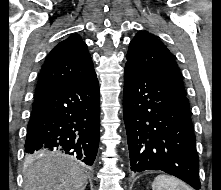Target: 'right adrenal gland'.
Wrapping results in <instances>:
<instances>
[{"mask_svg":"<svg viewBox=\"0 0 221 190\" xmlns=\"http://www.w3.org/2000/svg\"><path fill=\"white\" fill-rule=\"evenodd\" d=\"M80 190H85V186H84V187H82Z\"/></svg>","mask_w":221,"mask_h":190,"instance_id":"obj_1","label":"right adrenal gland"}]
</instances>
